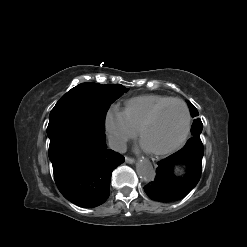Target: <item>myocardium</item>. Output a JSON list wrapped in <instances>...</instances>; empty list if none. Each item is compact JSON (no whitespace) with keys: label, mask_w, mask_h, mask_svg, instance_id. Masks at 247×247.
<instances>
[{"label":"myocardium","mask_w":247,"mask_h":247,"mask_svg":"<svg viewBox=\"0 0 247 247\" xmlns=\"http://www.w3.org/2000/svg\"><path fill=\"white\" fill-rule=\"evenodd\" d=\"M171 103H179L182 105V107L184 108L185 111V128L184 131L181 135V137L179 138V140L173 144L172 146L162 149V150H150V152L155 155V156H165L168 154H171L173 152H175L176 150H178L186 141L189 133H190V128H191V113L189 110L188 105L186 104L185 101H183L180 98H170L167 101L161 103L160 105H158L153 111L152 113L148 116V118L142 123V125L140 126V128L138 129V136L139 138L142 140L143 137V133L145 132V130L147 128H149L157 119L158 115L160 114V112L169 104Z\"/></svg>","instance_id":"1"}]
</instances>
